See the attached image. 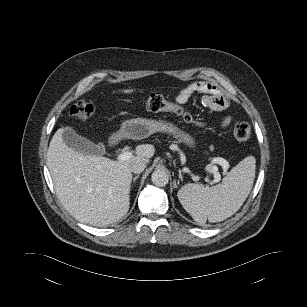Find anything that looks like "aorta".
Segmentation results:
<instances>
[{
	"label": "aorta",
	"instance_id": "1",
	"mask_svg": "<svg viewBox=\"0 0 307 307\" xmlns=\"http://www.w3.org/2000/svg\"><path fill=\"white\" fill-rule=\"evenodd\" d=\"M151 180L154 185L163 187L168 184L169 175L164 169H156L151 176Z\"/></svg>",
	"mask_w": 307,
	"mask_h": 307
}]
</instances>
